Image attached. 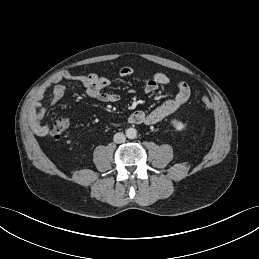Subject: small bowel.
Returning <instances> with one entry per match:
<instances>
[{"instance_id": "1", "label": "small bowel", "mask_w": 259, "mask_h": 259, "mask_svg": "<svg viewBox=\"0 0 259 259\" xmlns=\"http://www.w3.org/2000/svg\"><path fill=\"white\" fill-rule=\"evenodd\" d=\"M133 69L125 66L121 69L120 74L123 77H130L133 74ZM67 80L79 83L83 86L86 95L89 98L100 102H118L121 97L117 93L105 92L104 89L110 86L111 80L99 74L75 75L69 72H63L59 75L58 80ZM172 85L171 78L162 72H157L153 76L144 79L143 87L146 93H153L162 86ZM175 92L174 96L162 105L151 111L144 113L136 111L130 116L132 123L153 125L161 122L166 117L176 112L189 99L191 91L189 86L184 82H177L173 85ZM66 92V87L63 84H56L52 89V104H57ZM44 96V91L40 90L35 95V100L28 113V124L31 131L37 136H46L49 133V126L42 124L41 120L46 113V109L42 106L41 100Z\"/></svg>"}]
</instances>
